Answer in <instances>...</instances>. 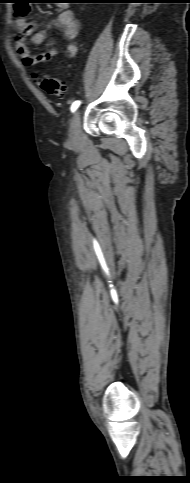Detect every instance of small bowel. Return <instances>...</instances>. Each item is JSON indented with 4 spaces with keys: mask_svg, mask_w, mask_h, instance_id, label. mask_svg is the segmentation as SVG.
Instances as JSON below:
<instances>
[{
    "mask_svg": "<svg viewBox=\"0 0 190 483\" xmlns=\"http://www.w3.org/2000/svg\"><path fill=\"white\" fill-rule=\"evenodd\" d=\"M27 14L28 7L25 15L22 17L16 12L15 50L23 64L27 67L33 68L37 64L48 61L59 55L62 51V47L56 46L40 54L31 53L26 44V38L33 33L35 25L25 19ZM57 25L63 31L64 40L68 42L66 46L68 57L73 58L77 52V47L73 41L75 40L79 31V23L74 12L69 9L62 10L57 16ZM45 39V32H36L32 37V43L36 46H40L45 42Z\"/></svg>",
    "mask_w": 190,
    "mask_h": 483,
    "instance_id": "obj_1",
    "label": "small bowel"
}]
</instances>
